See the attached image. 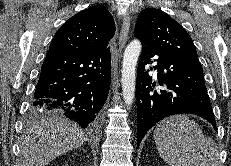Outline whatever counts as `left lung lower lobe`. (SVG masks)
Segmentation results:
<instances>
[{"label": "left lung lower lobe", "instance_id": "1", "mask_svg": "<svg viewBox=\"0 0 231 166\" xmlns=\"http://www.w3.org/2000/svg\"><path fill=\"white\" fill-rule=\"evenodd\" d=\"M153 62H157L156 82L145 69ZM136 103L137 146L152 126L174 114H195L216 128L200 62L172 58L144 44L137 69Z\"/></svg>", "mask_w": 231, "mask_h": 166}]
</instances>
